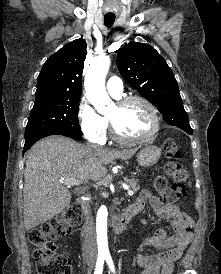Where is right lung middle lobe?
I'll list each match as a JSON object with an SVG mask.
<instances>
[{"label": "right lung middle lobe", "instance_id": "obj_1", "mask_svg": "<svg viewBox=\"0 0 221 274\" xmlns=\"http://www.w3.org/2000/svg\"><path fill=\"white\" fill-rule=\"evenodd\" d=\"M81 95L50 96L35 99L25 130V138L49 130L82 135L78 121Z\"/></svg>", "mask_w": 221, "mask_h": 274}]
</instances>
